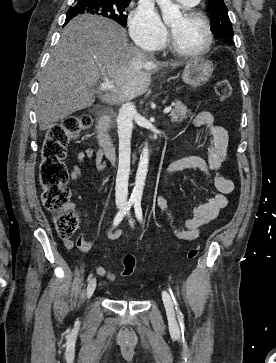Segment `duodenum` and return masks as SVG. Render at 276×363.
I'll use <instances>...</instances> for the list:
<instances>
[{"mask_svg": "<svg viewBox=\"0 0 276 363\" xmlns=\"http://www.w3.org/2000/svg\"><path fill=\"white\" fill-rule=\"evenodd\" d=\"M97 117V132L101 150L107 159L114 162L116 158V148L109 133L111 122L110 113L108 111H100L98 112Z\"/></svg>", "mask_w": 276, "mask_h": 363, "instance_id": "1", "label": "duodenum"}]
</instances>
